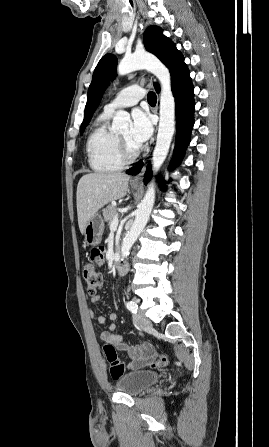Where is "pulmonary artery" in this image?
Masks as SVG:
<instances>
[{"label": "pulmonary artery", "instance_id": "pulmonary-artery-1", "mask_svg": "<svg viewBox=\"0 0 269 447\" xmlns=\"http://www.w3.org/2000/svg\"><path fill=\"white\" fill-rule=\"evenodd\" d=\"M145 95L146 90L144 88L138 85L129 86L121 90L110 103L106 104L104 110L113 113L117 109L131 107L136 105Z\"/></svg>", "mask_w": 269, "mask_h": 447}]
</instances>
